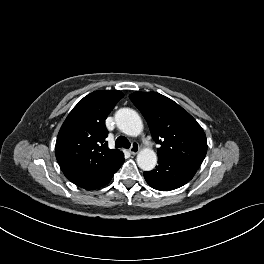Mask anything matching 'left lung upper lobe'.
<instances>
[{
  "label": "left lung upper lobe",
  "instance_id": "left-lung-upper-lobe-1",
  "mask_svg": "<svg viewBox=\"0 0 264 264\" xmlns=\"http://www.w3.org/2000/svg\"><path fill=\"white\" fill-rule=\"evenodd\" d=\"M133 103L145 117L160 148L158 158H168L198 169L206 152V135L197 121L173 100L157 92H135Z\"/></svg>",
  "mask_w": 264,
  "mask_h": 264
}]
</instances>
